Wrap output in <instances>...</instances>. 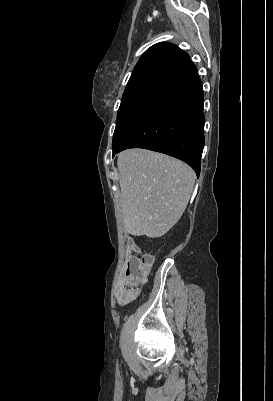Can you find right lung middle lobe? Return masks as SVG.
<instances>
[{
	"instance_id": "right-lung-middle-lobe-1",
	"label": "right lung middle lobe",
	"mask_w": 273,
	"mask_h": 401,
	"mask_svg": "<svg viewBox=\"0 0 273 401\" xmlns=\"http://www.w3.org/2000/svg\"><path fill=\"white\" fill-rule=\"evenodd\" d=\"M167 98L156 93H141L122 98L113 135V151Z\"/></svg>"
}]
</instances>
